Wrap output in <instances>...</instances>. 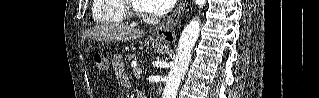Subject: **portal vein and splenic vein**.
Returning <instances> with one entry per match:
<instances>
[{
	"mask_svg": "<svg viewBox=\"0 0 319 98\" xmlns=\"http://www.w3.org/2000/svg\"><path fill=\"white\" fill-rule=\"evenodd\" d=\"M132 66H133V70H132L133 74H134L135 76H140L141 73H142L141 69H140V68H137V67H136V64H134V65H132Z\"/></svg>",
	"mask_w": 319,
	"mask_h": 98,
	"instance_id": "portal-vein-and-splenic-vein-1",
	"label": "portal vein and splenic vein"
}]
</instances>
